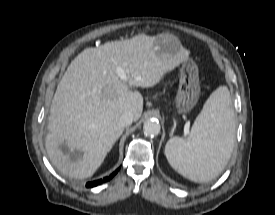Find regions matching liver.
<instances>
[{"label": "liver", "mask_w": 275, "mask_h": 215, "mask_svg": "<svg viewBox=\"0 0 275 215\" xmlns=\"http://www.w3.org/2000/svg\"><path fill=\"white\" fill-rule=\"evenodd\" d=\"M156 37L140 34L87 48L71 62L51 103L45 141L50 161L63 174L92 176L123 133L120 116L131 112L135 121L141 117L143 97L132 87H152L189 59L183 47L173 57L157 55ZM63 143L67 152L60 148Z\"/></svg>", "instance_id": "liver-1"}]
</instances>
